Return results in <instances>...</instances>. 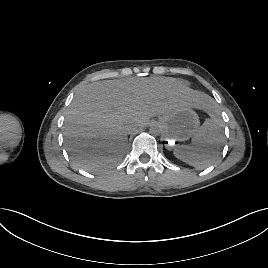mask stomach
<instances>
[{"label":"stomach","mask_w":268,"mask_h":268,"mask_svg":"<svg viewBox=\"0 0 268 268\" xmlns=\"http://www.w3.org/2000/svg\"><path fill=\"white\" fill-rule=\"evenodd\" d=\"M167 140L186 141L197 132L200 121L191 106L175 109L159 118Z\"/></svg>","instance_id":"stomach-1"}]
</instances>
